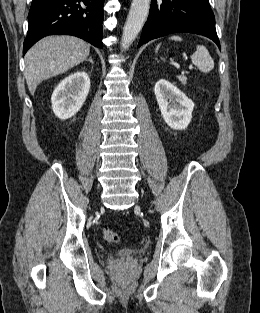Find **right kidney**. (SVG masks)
I'll use <instances>...</instances> for the list:
<instances>
[{
    "label": "right kidney",
    "mask_w": 260,
    "mask_h": 313,
    "mask_svg": "<svg viewBox=\"0 0 260 313\" xmlns=\"http://www.w3.org/2000/svg\"><path fill=\"white\" fill-rule=\"evenodd\" d=\"M89 90L90 78L85 71H76L64 78L51 97L54 114L62 120L74 116L83 106Z\"/></svg>",
    "instance_id": "ca27d5eb"
}]
</instances>
